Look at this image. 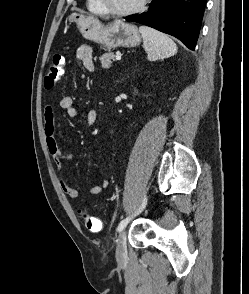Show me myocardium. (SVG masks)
I'll return each instance as SVG.
<instances>
[{
    "instance_id": "1",
    "label": "myocardium",
    "mask_w": 249,
    "mask_h": 294,
    "mask_svg": "<svg viewBox=\"0 0 249 294\" xmlns=\"http://www.w3.org/2000/svg\"><path fill=\"white\" fill-rule=\"evenodd\" d=\"M97 1L100 7L104 10L105 14L111 15V16H117V17H125V16H130L142 11L149 0H140L138 4H136L134 7L126 9V10H114L108 7L104 0H97Z\"/></svg>"
}]
</instances>
